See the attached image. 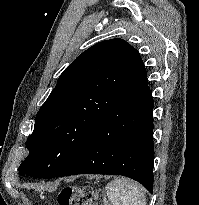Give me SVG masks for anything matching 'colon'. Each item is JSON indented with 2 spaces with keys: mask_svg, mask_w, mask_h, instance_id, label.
Masks as SVG:
<instances>
[{
  "mask_svg": "<svg viewBox=\"0 0 199 205\" xmlns=\"http://www.w3.org/2000/svg\"><path fill=\"white\" fill-rule=\"evenodd\" d=\"M58 205H107L102 194L91 187H64L57 196Z\"/></svg>",
  "mask_w": 199,
  "mask_h": 205,
  "instance_id": "colon-1",
  "label": "colon"
}]
</instances>
